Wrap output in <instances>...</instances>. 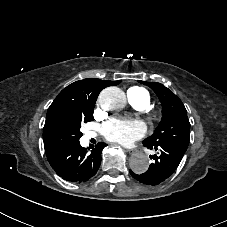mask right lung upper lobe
<instances>
[{
  "instance_id": "1",
  "label": "right lung upper lobe",
  "mask_w": 227,
  "mask_h": 227,
  "mask_svg": "<svg viewBox=\"0 0 227 227\" xmlns=\"http://www.w3.org/2000/svg\"><path fill=\"white\" fill-rule=\"evenodd\" d=\"M119 81H103L96 78H88L76 81L64 88L55 98L53 103L48 108L51 110L59 103H71L74 105H94L97 97L102 89L108 86H116ZM50 154L46 152V155Z\"/></svg>"
}]
</instances>
